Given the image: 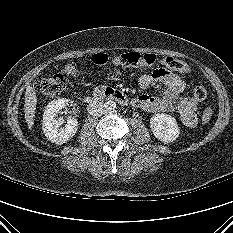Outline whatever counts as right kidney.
Instances as JSON below:
<instances>
[{
  "instance_id": "ca27d5eb",
  "label": "right kidney",
  "mask_w": 233,
  "mask_h": 233,
  "mask_svg": "<svg viewBox=\"0 0 233 233\" xmlns=\"http://www.w3.org/2000/svg\"><path fill=\"white\" fill-rule=\"evenodd\" d=\"M69 105L68 99H57L51 101L43 114L42 129L48 140L55 144H63L69 141L77 132L79 124L75 118H70L64 128H61L64 120L57 119L59 110Z\"/></svg>"
}]
</instances>
